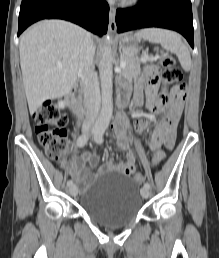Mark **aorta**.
I'll list each match as a JSON object with an SVG mask.
<instances>
[{"mask_svg":"<svg viewBox=\"0 0 219 258\" xmlns=\"http://www.w3.org/2000/svg\"><path fill=\"white\" fill-rule=\"evenodd\" d=\"M99 74L101 81L102 106L95 123V128L99 131H105L109 126L113 114V55L109 36H107L102 49L99 62Z\"/></svg>","mask_w":219,"mask_h":258,"instance_id":"762f6f07","label":"aorta"}]
</instances>
